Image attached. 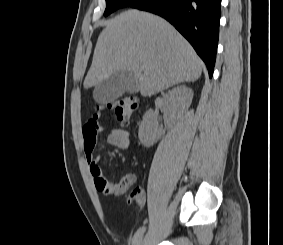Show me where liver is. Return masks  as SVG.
I'll return each mask as SVG.
<instances>
[{"instance_id": "1", "label": "liver", "mask_w": 283, "mask_h": 245, "mask_svg": "<svg viewBox=\"0 0 283 245\" xmlns=\"http://www.w3.org/2000/svg\"><path fill=\"white\" fill-rule=\"evenodd\" d=\"M203 62L187 40L167 21L151 13L128 10L105 23L84 88L112 74L130 71L142 96L182 82L196 81Z\"/></svg>"}]
</instances>
